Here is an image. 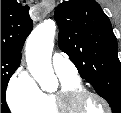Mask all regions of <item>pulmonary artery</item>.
<instances>
[{"label": "pulmonary artery", "instance_id": "e3ab8cb5", "mask_svg": "<svg viewBox=\"0 0 121 113\" xmlns=\"http://www.w3.org/2000/svg\"><path fill=\"white\" fill-rule=\"evenodd\" d=\"M52 65L57 75L76 77L78 74L76 66L68 60L63 53H54L52 57Z\"/></svg>", "mask_w": 121, "mask_h": 113}]
</instances>
